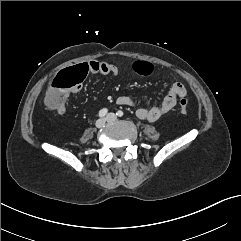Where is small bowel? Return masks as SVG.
<instances>
[{
	"instance_id": "obj_1",
	"label": "small bowel",
	"mask_w": 241,
	"mask_h": 241,
	"mask_svg": "<svg viewBox=\"0 0 241 241\" xmlns=\"http://www.w3.org/2000/svg\"><path fill=\"white\" fill-rule=\"evenodd\" d=\"M87 63L92 73H98L103 76H113L116 77L119 74V69L116 65L108 63V62H101V61H88ZM82 86L79 84L76 86L72 92L77 93L81 90ZM182 93L186 95V88L185 86L180 83L176 82L174 83L165 98L163 99L162 103L158 106H154L151 108H144L139 107L136 110V115L138 118L147 120L150 122H154L170 112L177 103V98L182 96ZM69 94L65 93L64 100L60 104H55L52 106H49L52 110L56 111L60 115H65L67 112L66 108V100L68 98ZM116 104L120 106H133L134 101L131 97L126 95H121L116 98Z\"/></svg>"
}]
</instances>
